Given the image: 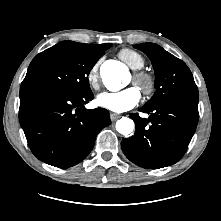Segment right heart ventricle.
Returning <instances> with one entry per match:
<instances>
[{
	"label": "right heart ventricle",
	"instance_id": "e07e8e85",
	"mask_svg": "<svg viewBox=\"0 0 221 221\" xmlns=\"http://www.w3.org/2000/svg\"><path fill=\"white\" fill-rule=\"evenodd\" d=\"M118 56L133 70H140L145 66V58L131 48L121 49Z\"/></svg>",
	"mask_w": 221,
	"mask_h": 221
}]
</instances>
